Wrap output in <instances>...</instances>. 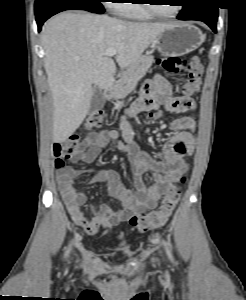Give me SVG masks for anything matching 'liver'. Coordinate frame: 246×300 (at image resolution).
<instances>
[{"mask_svg": "<svg viewBox=\"0 0 246 300\" xmlns=\"http://www.w3.org/2000/svg\"><path fill=\"white\" fill-rule=\"evenodd\" d=\"M167 23H136L84 12H64L42 29L44 68L53 98V142H63L81 125L90 109L93 85L113 86L114 61L104 55L117 50L124 69L137 61Z\"/></svg>", "mask_w": 246, "mask_h": 300, "instance_id": "obj_1", "label": "liver"}]
</instances>
